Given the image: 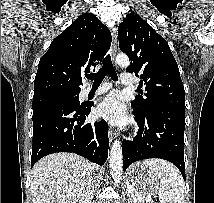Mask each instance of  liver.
<instances>
[{
    "instance_id": "obj_1",
    "label": "liver",
    "mask_w": 214,
    "mask_h": 203,
    "mask_svg": "<svg viewBox=\"0 0 214 203\" xmlns=\"http://www.w3.org/2000/svg\"><path fill=\"white\" fill-rule=\"evenodd\" d=\"M95 166L73 153H54L39 160L31 171L33 203H89Z\"/></svg>"
}]
</instances>
